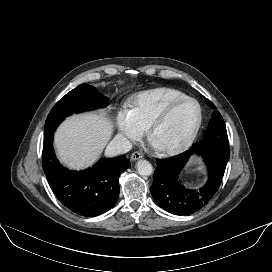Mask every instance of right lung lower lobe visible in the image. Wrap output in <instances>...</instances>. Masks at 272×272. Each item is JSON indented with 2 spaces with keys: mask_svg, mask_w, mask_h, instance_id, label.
Returning a JSON list of instances; mask_svg holds the SVG:
<instances>
[{
  "mask_svg": "<svg viewBox=\"0 0 272 272\" xmlns=\"http://www.w3.org/2000/svg\"><path fill=\"white\" fill-rule=\"evenodd\" d=\"M53 134L45 138L42 167L58 200L78 215L93 217L114 206L119 195V175L130 167L125 155L101 159L92 168L70 171L56 159Z\"/></svg>",
  "mask_w": 272,
  "mask_h": 272,
  "instance_id": "98d812e1",
  "label": "right lung lower lobe"
}]
</instances>
